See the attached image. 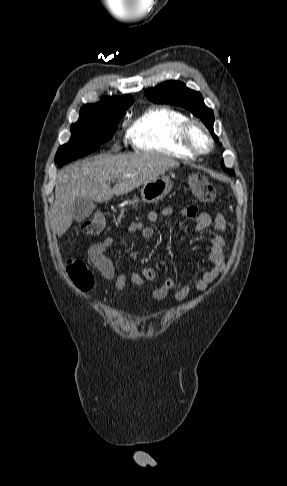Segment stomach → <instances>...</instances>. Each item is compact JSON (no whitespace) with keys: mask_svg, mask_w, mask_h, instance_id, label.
<instances>
[{"mask_svg":"<svg viewBox=\"0 0 287 486\" xmlns=\"http://www.w3.org/2000/svg\"><path fill=\"white\" fill-rule=\"evenodd\" d=\"M173 183L169 178H157L145 183L141 189V200L155 203L163 199L172 189Z\"/></svg>","mask_w":287,"mask_h":486,"instance_id":"obj_1","label":"stomach"}]
</instances>
